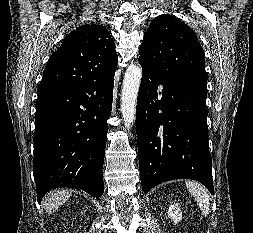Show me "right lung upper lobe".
Listing matches in <instances>:
<instances>
[{
	"label": "right lung upper lobe",
	"mask_w": 253,
	"mask_h": 233,
	"mask_svg": "<svg viewBox=\"0 0 253 233\" xmlns=\"http://www.w3.org/2000/svg\"><path fill=\"white\" fill-rule=\"evenodd\" d=\"M115 43L105 27L82 25L54 52L37 91L103 77L117 68Z\"/></svg>",
	"instance_id": "right-lung-upper-lobe-1"
}]
</instances>
